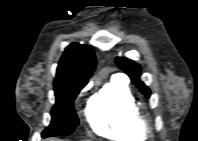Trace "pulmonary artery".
<instances>
[{
  "label": "pulmonary artery",
  "instance_id": "e3ab8cb5",
  "mask_svg": "<svg viewBox=\"0 0 198 141\" xmlns=\"http://www.w3.org/2000/svg\"><path fill=\"white\" fill-rule=\"evenodd\" d=\"M115 78H119V79L124 80V76H123L122 74H117V75H115Z\"/></svg>",
  "mask_w": 198,
  "mask_h": 141
}]
</instances>
